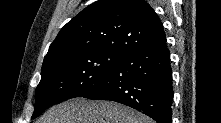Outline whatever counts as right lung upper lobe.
I'll list each match as a JSON object with an SVG mask.
<instances>
[{
  "instance_id": "cb5924a9",
  "label": "right lung upper lobe",
  "mask_w": 221,
  "mask_h": 123,
  "mask_svg": "<svg viewBox=\"0 0 221 123\" xmlns=\"http://www.w3.org/2000/svg\"><path fill=\"white\" fill-rule=\"evenodd\" d=\"M165 43L160 18L145 0H99L61 29L43 64L81 51L109 49L129 54Z\"/></svg>"
}]
</instances>
